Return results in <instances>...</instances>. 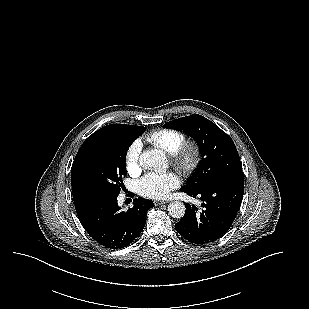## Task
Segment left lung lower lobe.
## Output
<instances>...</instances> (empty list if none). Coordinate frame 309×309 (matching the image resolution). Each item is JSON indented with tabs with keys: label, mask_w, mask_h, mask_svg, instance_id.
Segmentation results:
<instances>
[{
	"label": "left lung lower lobe",
	"mask_w": 309,
	"mask_h": 309,
	"mask_svg": "<svg viewBox=\"0 0 309 309\" xmlns=\"http://www.w3.org/2000/svg\"><path fill=\"white\" fill-rule=\"evenodd\" d=\"M182 192L202 201L203 210L187 204L186 214L175 225L177 232L192 244L204 245L224 236L240 208L244 178L230 177L197 190Z\"/></svg>",
	"instance_id": "left-lung-lower-lobe-1"
}]
</instances>
